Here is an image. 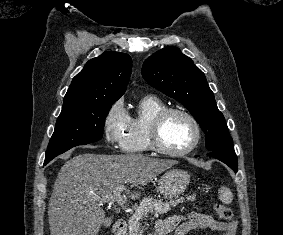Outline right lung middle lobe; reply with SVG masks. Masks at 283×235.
<instances>
[{
    "label": "right lung middle lobe",
    "mask_w": 283,
    "mask_h": 235,
    "mask_svg": "<svg viewBox=\"0 0 283 235\" xmlns=\"http://www.w3.org/2000/svg\"><path fill=\"white\" fill-rule=\"evenodd\" d=\"M114 102L63 103L44 163L75 146L99 141L103 136L105 118Z\"/></svg>",
    "instance_id": "obj_1"
}]
</instances>
